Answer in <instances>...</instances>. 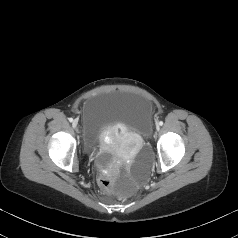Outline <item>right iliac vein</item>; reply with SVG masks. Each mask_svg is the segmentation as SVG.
Instances as JSON below:
<instances>
[{
  "label": "right iliac vein",
  "instance_id": "1",
  "mask_svg": "<svg viewBox=\"0 0 238 238\" xmlns=\"http://www.w3.org/2000/svg\"><path fill=\"white\" fill-rule=\"evenodd\" d=\"M77 125H78V121H77V120H74V121L72 122L73 128H77Z\"/></svg>",
  "mask_w": 238,
  "mask_h": 238
}]
</instances>
